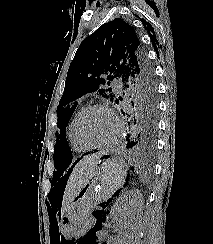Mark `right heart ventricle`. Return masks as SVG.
<instances>
[{
	"instance_id": "right-heart-ventricle-1",
	"label": "right heart ventricle",
	"mask_w": 213,
	"mask_h": 244,
	"mask_svg": "<svg viewBox=\"0 0 213 244\" xmlns=\"http://www.w3.org/2000/svg\"><path fill=\"white\" fill-rule=\"evenodd\" d=\"M81 111H82V109H78L74 113L72 119L70 120V122L68 124V128H67V136H68L69 144H70L71 148L77 153H84L89 150L88 147L83 145L78 140V138L76 137V134H75V123H76V120H77L78 116L80 115Z\"/></svg>"
}]
</instances>
